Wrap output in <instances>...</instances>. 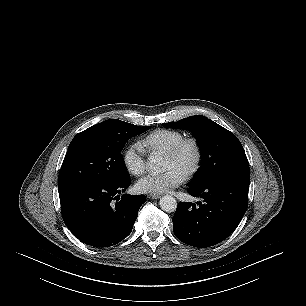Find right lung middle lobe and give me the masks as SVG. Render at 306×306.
<instances>
[{
	"label": "right lung middle lobe",
	"mask_w": 306,
	"mask_h": 306,
	"mask_svg": "<svg viewBox=\"0 0 306 306\" xmlns=\"http://www.w3.org/2000/svg\"><path fill=\"white\" fill-rule=\"evenodd\" d=\"M150 128L110 119L78 133L62 163L58 190L92 180L117 183L128 179L120 153L127 140Z\"/></svg>",
	"instance_id": "obj_1"
}]
</instances>
